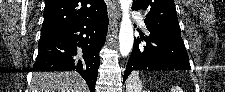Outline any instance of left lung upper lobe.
I'll return each instance as SVG.
<instances>
[{"label":"left lung upper lobe","instance_id":"obj_1","mask_svg":"<svg viewBox=\"0 0 225 92\" xmlns=\"http://www.w3.org/2000/svg\"><path fill=\"white\" fill-rule=\"evenodd\" d=\"M132 9L146 11V25L167 27L180 34L174 0H134Z\"/></svg>","mask_w":225,"mask_h":92}]
</instances>
